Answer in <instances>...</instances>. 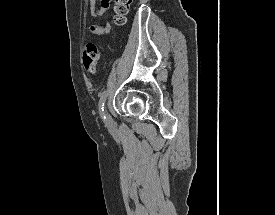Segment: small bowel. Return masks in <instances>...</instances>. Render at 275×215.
I'll use <instances>...</instances> for the list:
<instances>
[{"mask_svg": "<svg viewBox=\"0 0 275 215\" xmlns=\"http://www.w3.org/2000/svg\"><path fill=\"white\" fill-rule=\"evenodd\" d=\"M110 1L111 0H100L99 7L96 8V0H91L92 15L95 18L101 17L108 9ZM111 28L112 26L108 22L102 24L94 23L90 25L89 31L93 36L101 37L108 34L111 31Z\"/></svg>", "mask_w": 275, "mask_h": 215, "instance_id": "obj_1", "label": "small bowel"}]
</instances>
